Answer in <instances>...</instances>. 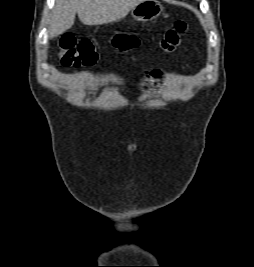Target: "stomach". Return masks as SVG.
I'll return each mask as SVG.
<instances>
[{
    "label": "stomach",
    "instance_id": "stomach-1",
    "mask_svg": "<svg viewBox=\"0 0 254 267\" xmlns=\"http://www.w3.org/2000/svg\"><path fill=\"white\" fill-rule=\"evenodd\" d=\"M162 10L157 0H144L131 10V16L137 21L148 22L156 19Z\"/></svg>",
    "mask_w": 254,
    "mask_h": 267
}]
</instances>
